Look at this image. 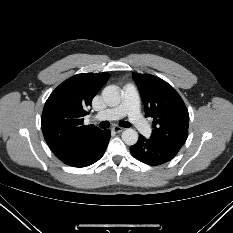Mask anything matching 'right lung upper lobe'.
Listing matches in <instances>:
<instances>
[{
  "instance_id": "obj_1",
  "label": "right lung upper lobe",
  "mask_w": 233,
  "mask_h": 233,
  "mask_svg": "<svg viewBox=\"0 0 233 233\" xmlns=\"http://www.w3.org/2000/svg\"><path fill=\"white\" fill-rule=\"evenodd\" d=\"M109 77V73L74 75L61 83L47 99L41 128L48 146L58 158L74 151L100 131L94 125H83V121L93 97Z\"/></svg>"
}]
</instances>
